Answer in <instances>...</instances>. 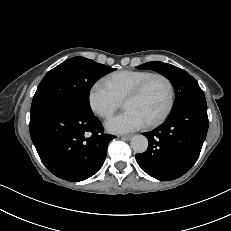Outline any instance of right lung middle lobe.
<instances>
[{
    "mask_svg": "<svg viewBox=\"0 0 231 231\" xmlns=\"http://www.w3.org/2000/svg\"><path fill=\"white\" fill-rule=\"evenodd\" d=\"M84 57H73L50 70L40 82L33 97L30 121L58 104H73L92 112L89 93L102 76L114 71Z\"/></svg>",
    "mask_w": 231,
    "mask_h": 231,
    "instance_id": "obj_1",
    "label": "right lung middle lobe"
}]
</instances>
